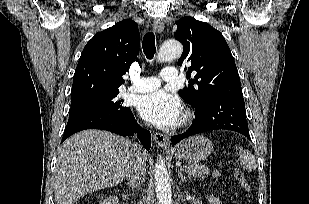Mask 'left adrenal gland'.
<instances>
[{
	"label": "left adrenal gland",
	"mask_w": 309,
	"mask_h": 204,
	"mask_svg": "<svg viewBox=\"0 0 309 204\" xmlns=\"http://www.w3.org/2000/svg\"><path fill=\"white\" fill-rule=\"evenodd\" d=\"M178 176H179V178H180V184H182L183 182H185L186 179H187V176L183 175V172H182L181 169L178 171Z\"/></svg>",
	"instance_id": "left-adrenal-gland-1"
}]
</instances>
